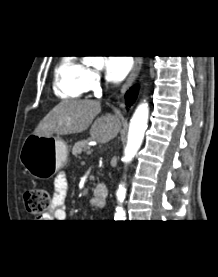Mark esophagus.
I'll return each mask as SVG.
<instances>
[{
	"instance_id": "34e87169",
	"label": "esophagus",
	"mask_w": 218,
	"mask_h": 277,
	"mask_svg": "<svg viewBox=\"0 0 218 277\" xmlns=\"http://www.w3.org/2000/svg\"><path fill=\"white\" fill-rule=\"evenodd\" d=\"M142 57H135V63L133 66V69L130 73V75L128 76L126 82L124 83V85L121 88V95H124L125 92L132 86V84L134 83L135 79L138 76V73L141 69V65H142Z\"/></svg>"
}]
</instances>
